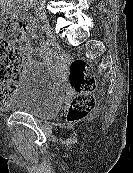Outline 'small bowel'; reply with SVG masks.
<instances>
[{
  "label": "small bowel",
  "instance_id": "c3829d8e",
  "mask_svg": "<svg viewBox=\"0 0 133 173\" xmlns=\"http://www.w3.org/2000/svg\"><path fill=\"white\" fill-rule=\"evenodd\" d=\"M7 3V6H10L8 2ZM29 24H30V30H29V37L28 36H24L21 40H20V50L22 53H29L30 51V43H29V38H33L35 37L36 35V29L38 27V24L37 22L30 18L29 20ZM43 58L44 59H55V60H62L63 57L61 56V54L59 53V51L56 49V50H53V51H49V52H45L43 54Z\"/></svg>",
  "mask_w": 133,
  "mask_h": 173
}]
</instances>
